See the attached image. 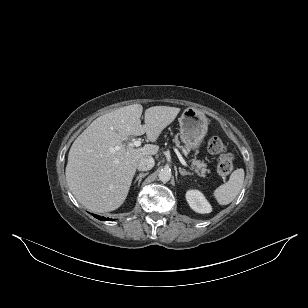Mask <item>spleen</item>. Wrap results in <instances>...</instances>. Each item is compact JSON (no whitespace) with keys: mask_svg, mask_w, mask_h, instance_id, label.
Wrapping results in <instances>:
<instances>
[{"mask_svg":"<svg viewBox=\"0 0 308 308\" xmlns=\"http://www.w3.org/2000/svg\"><path fill=\"white\" fill-rule=\"evenodd\" d=\"M244 182V170L242 168L234 170L228 182L214 190L213 195L220 205L231 203L240 193Z\"/></svg>","mask_w":308,"mask_h":308,"instance_id":"obj_1","label":"spleen"}]
</instances>
